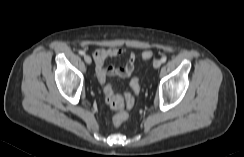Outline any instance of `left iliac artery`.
Masks as SVG:
<instances>
[{"label": "left iliac artery", "instance_id": "left-iliac-artery-1", "mask_svg": "<svg viewBox=\"0 0 244 157\" xmlns=\"http://www.w3.org/2000/svg\"><path fill=\"white\" fill-rule=\"evenodd\" d=\"M167 61V57H162L161 63H165Z\"/></svg>", "mask_w": 244, "mask_h": 157}]
</instances>
